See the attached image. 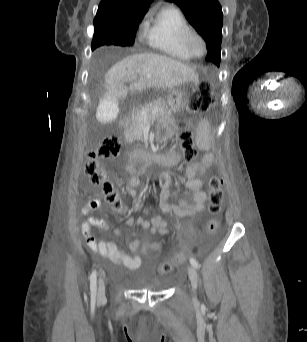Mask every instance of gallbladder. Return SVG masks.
Returning <instances> with one entry per match:
<instances>
[{
	"mask_svg": "<svg viewBox=\"0 0 307 342\" xmlns=\"http://www.w3.org/2000/svg\"><path fill=\"white\" fill-rule=\"evenodd\" d=\"M122 101V95H103L101 103L95 107V114H97L98 123H113L120 108L119 102Z\"/></svg>",
	"mask_w": 307,
	"mask_h": 342,
	"instance_id": "1",
	"label": "gallbladder"
}]
</instances>
